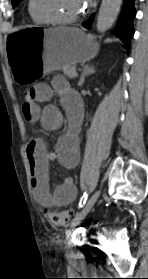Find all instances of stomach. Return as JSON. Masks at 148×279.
I'll list each match as a JSON object with an SVG mask.
<instances>
[{
  "label": "stomach",
  "mask_w": 148,
  "mask_h": 279,
  "mask_svg": "<svg viewBox=\"0 0 148 279\" xmlns=\"http://www.w3.org/2000/svg\"><path fill=\"white\" fill-rule=\"evenodd\" d=\"M8 38V49H21L7 50L6 54L7 69L12 72L9 77L15 78L16 87H35V82L46 78V72L89 61L99 50L94 37L78 28L24 25L11 30Z\"/></svg>",
  "instance_id": "stomach-1"
}]
</instances>
